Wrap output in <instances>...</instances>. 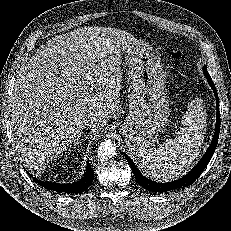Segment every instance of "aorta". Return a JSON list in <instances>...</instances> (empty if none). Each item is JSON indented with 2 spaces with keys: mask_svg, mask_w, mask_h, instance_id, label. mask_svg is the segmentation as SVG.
<instances>
[{
  "mask_svg": "<svg viewBox=\"0 0 231 231\" xmlns=\"http://www.w3.org/2000/svg\"><path fill=\"white\" fill-rule=\"evenodd\" d=\"M116 144L111 140L103 141L97 148V157L101 161L111 159L116 154Z\"/></svg>",
  "mask_w": 231,
  "mask_h": 231,
  "instance_id": "aorta-1",
  "label": "aorta"
}]
</instances>
